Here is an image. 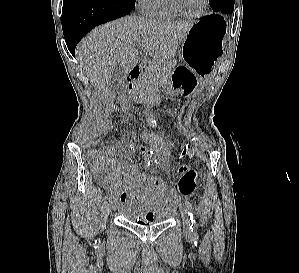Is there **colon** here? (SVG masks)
<instances>
[{"mask_svg": "<svg viewBox=\"0 0 299 273\" xmlns=\"http://www.w3.org/2000/svg\"><path fill=\"white\" fill-rule=\"evenodd\" d=\"M140 142L137 144L138 149H166L173 148L177 145V139L172 137H155L148 134L139 135ZM134 144L136 143V137H134ZM126 144L125 135H122L112 140L107 146L106 150H120ZM104 151V152H105ZM104 152L92 151L90 154V166L93 175L98 180H102L106 177L107 168L104 159ZM197 187V172L194 170H188L182 174L178 182V191L184 196L192 195Z\"/></svg>", "mask_w": 299, "mask_h": 273, "instance_id": "colon-1", "label": "colon"}]
</instances>
